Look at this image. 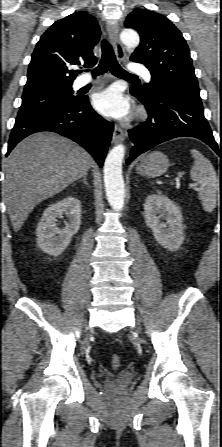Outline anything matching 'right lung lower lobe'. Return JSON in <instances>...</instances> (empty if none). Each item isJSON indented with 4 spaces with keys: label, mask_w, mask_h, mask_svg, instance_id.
Returning <instances> with one entry per match:
<instances>
[{
    "label": "right lung lower lobe",
    "mask_w": 222,
    "mask_h": 447,
    "mask_svg": "<svg viewBox=\"0 0 222 447\" xmlns=\"http://www.w3.org/2000/svg\"><path fill=\"white\" fill-rule=\"evenodd\" d=\"M112 123L90 106L87 97L46 111L17 117L12 129L8 152L28 135L40 131L56 132L84 147L102 167L113 131Z\"/></svg>",
    "instance_id": "1"
}]
</instances>
